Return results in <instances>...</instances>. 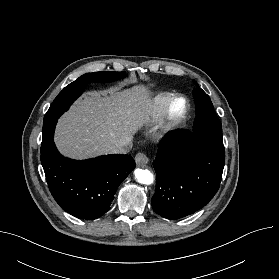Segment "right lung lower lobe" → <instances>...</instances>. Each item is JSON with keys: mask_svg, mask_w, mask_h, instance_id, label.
<instances>
[{"mask_svg": "<svg viewBox=\"0 0 279 279\" xmlns=\"http://www.w3.org/2000/svg\"><path fill=\"white\" fill-rule=\"evenodd\" d=\"M41 163L56 202L82 220H94L108 212L118 186L136 166L130 155L82 161L65 158L54 142L41 154Z\"/></svg>", "mask_w": 279, "mask_h": 279, "instance_id": "right-lung-lower-lobe-1", "label": "right lung lower lobe"}]
</instances>
